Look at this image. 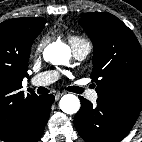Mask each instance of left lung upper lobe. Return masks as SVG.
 I'll list each match as a JSON object with an SVG mask.
<instances>
[{"label":"left lung upper lobe","mask_w":142,"mask_h":142,"mask_svg":"<svg viewBox=\"0 0 142 142\" xmlns=\"http://www.w3.org/2000/svg\"><path fill=\"white\" fill-rule=\"evenodd\" d=\"M79 23L94 46L91 78L98 99L137 118L142 107V53L134 33L108 12L85 13Z\"/></svg>","instance_id":"5c2ea615"}]
</instances>
